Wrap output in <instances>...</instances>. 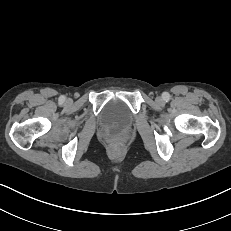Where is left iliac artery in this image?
<instances>
[{
    "instance_id": "left-iliac-artery-1",
    "label": "left iliac artery",
    "mask_w": 231,
    "mask_h": 231,
    "mask_svg": "<svg viewBox=\"0 0 231 231\" xmlns=\"http://www.w3.org/2000/svg\"><path fill=\"white\" fill-rule=\"evenodd\" d=\"M163 99L168 102L170 100V94L168 92H164L162 94Z\"/></svg>"
}]
</instances>
